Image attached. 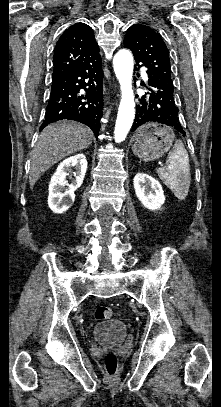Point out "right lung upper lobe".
<instances>
[{"instance_id":"cb5924a9","label":"right lung upper lobe","mask_w":221,"mask_h":407,"mask_svg":"<svg viewBox=\"0 0 221 407\" xmlns=\"http://www.w3.org/2000/svg\"><path fill=\"white\" fill-rule=\"evenodd\" d=\"M98 53L92 28L85 23H75L64 31L56 44L52 78L91 60Z\"/></svg>"}]
</instances>
